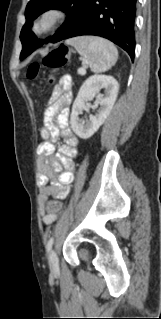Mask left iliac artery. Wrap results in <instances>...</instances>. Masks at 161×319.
<instances>
[{
    "instance_id": "1",
    "label": "left iliac artery",
    "mask_w": 161,
    "mask_h": 319,
    "mask_svg": "<svg viewBox=\"0 0 161 319\" xmlns=\"http://www.w3.org/2000/svg\"><path fill=\"white\" fill-rule=\"evenodd\" d=\"M53 237H51L47 243V252H49L52 248V245H53Z\"/></svg>"
}]
</instances>
